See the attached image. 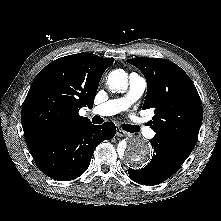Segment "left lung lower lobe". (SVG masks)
<instances>
[{
  "mask_svg": "<svg viewBox=\"0 0 221 221\" xmlns=\"http://www.w3.org/2000/svg\"><path fill=\"white\" fill-rule=\"evenodd\" d=\"M154 153L150 163L139 170L129 169L130 178L142 185H156L171 177L191 151L165 139L153 138Z\"/></svg>",
  "mask_w": 221,
  "mask_h": 221,
  "instance_id": "0a47b994",
  "label": "left lung lower lobe"
}]
</instances>
